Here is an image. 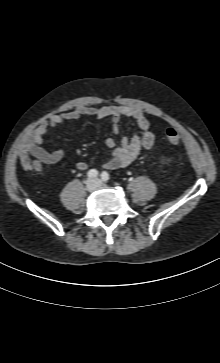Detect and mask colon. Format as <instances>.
Listing matches in <instances>:
<instances>
[{
	"label": "colon",
	"instance_id": "5ec220e1",
	"mask_svg": "<svg viewBox=\"0 0 220 363\" xmlns=\"http://www.w3.org/2000/svg\"><path fill=\"white\" fill-rule=\"evenodd\" d=\"M166 140L171 145H177L181 142L180 134L173 128H169L165 132Z\"/></svg>",
	"mask_w": 220,
	"mask_h": 363
}]
</instances>
